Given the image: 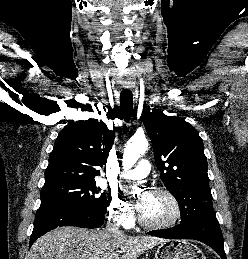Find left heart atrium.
Instances as JSON below:
<instances>
[{"mask_svg": "<svg viewBox=\"0 0 248 259\" xmlns=\"http://www.w3.org/2000/svg\"><path fill=\"white\" fill-rule=\"evenodd\" d=\"M149 197V192H144L138 199L136 207L139 212H142Z\"/></svg>", "mask_w": 248, "mask_h": 259, "instance_id": "left-heart-atrium-1", "label": "left heart atrium"}]
</instances>
